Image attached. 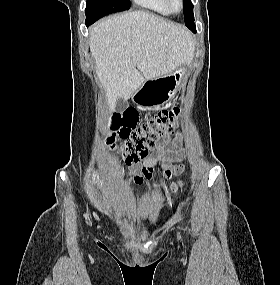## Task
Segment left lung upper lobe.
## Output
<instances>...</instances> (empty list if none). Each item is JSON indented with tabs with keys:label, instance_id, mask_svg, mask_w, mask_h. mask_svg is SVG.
<instances>
[{
	"label": "left lung upper lobe",
	"instance_id": "5c2ea615",
	"mask_svg": "<svg viewBox=\"0 0 280 285\" xmlns=\"http://www.w3.org/2000/svg\"><path fill=\"white\" fill-rule=\"evenodd\" d=\"M183 13H184L185 25L191 30L192 27H195L193 4L191 3V0H183Z\"/></svg>",
	"mask_w": 280,
	"mask_h": 285
}]
</instances>
